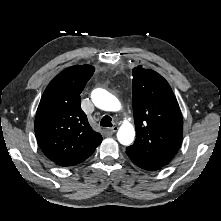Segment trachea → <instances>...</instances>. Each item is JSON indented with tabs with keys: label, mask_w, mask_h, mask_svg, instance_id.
<instances>
[{
	"label": "trachea",
	"mask_w": 221,
	"mask_h": 221,
	"mask_svg": "<svg viewBox=\"0 0 221 221\" xmlns=\"http://www.w3.org/2000/svg\"><path fill=\"white\" fill-rule=\"evenodd\" d=\"M100 125L103 126V127H110V126H112V118L110 116H107V115L104 116L101 119Z\"/></svg>",
	"instance_id": "obj_1"
}]
</instances>
